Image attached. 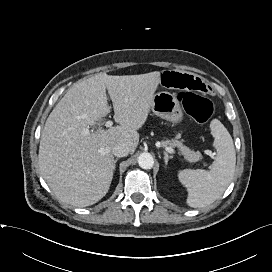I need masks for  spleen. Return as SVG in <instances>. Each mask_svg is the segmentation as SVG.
<instances>
[{
    "mask_svg": "<svg viewBox=\"0 0 272 272\" xmlns=\"http://www.w3.org/2000/svg\"><path fill=\"white\" fill-rule=\"evenodd\" d=\"M217 155L211 170L185 169L178 172L179 181L187 188V204L193 208L208 206L219 199L231 183L236 165L233 140L224 125L213 119L210 123Z\"/></svg>",
    "mask_w": 272,
    "mask_h": 272,
    "instance_id": "spleen-1",
    "label": "spleen"
}]
</instances>
